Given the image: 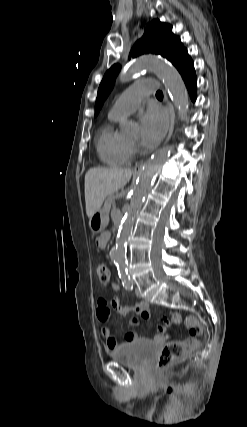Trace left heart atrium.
<instances>
[{"instance_id":"39dd6f15","label":"left heart atrium","mask_w":247,"mask_h":427,"mask_svg":"<svg viewBox=\"0 0 247 427\" xmlns=\"http://www.w3.org/2000/svg\"><path fill=\"white\" fill-rule=\"evenodd\" d=\"M168 127L167 115L158 107L148 108L140 118V143L145 147L155 146Z\"/></svg>"}]
</instances>
